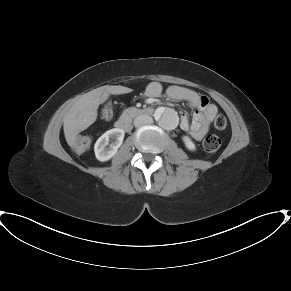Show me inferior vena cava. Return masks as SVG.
Returning a JSON list of instances; mask_svg holds the SVG:
<instances>
[{
  "mask_svg": "<svg viewBox=\"0 0 291 291\" xmlns=\"http://www.w3.org/2000/svg\"><path fill=\"white\" fill-rule=\"evenodd\" d=\"M153 122L152 117L146 114L138 115L134 119V126L135 127H141L143 125L151 124Z\"/></svg>",
  "mask_w": 291,
  "mask_h": 291,
  "instance_id": "inferior-vena-cava-1",
  "label": "inferior vena cava"
}]
</instances>
